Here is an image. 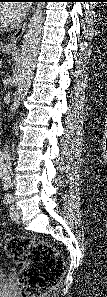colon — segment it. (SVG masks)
I'll return each instance as SVG.
<instances>
[{
	"label": "colon",
	"mask_w": 107,
	"mask_h": 297,
	"mask_svg": "<svg viewBox=\"0 0 107 297\" xmlns=\"http://www.w3.org/2000/svg\"><path fill=\"white\" fill-rule=\"evenodd\" d=\"M4 248L22 268V297H42L53 290L63 273L64 262L50 244L35 238L12 237Z\"/></svg>",
	"instance_id": "obj_1"
}]
</instances>
